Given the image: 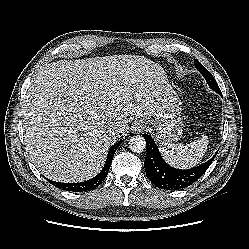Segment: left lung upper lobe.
Instances as JSON below:
<instances>
[{
	"instance_id": "obj_1",
	"label": "left lung upper lobe",
	"mask_w": 249,
	"mask_h": 249,
	"mask_svg": "<svg viewBox=\"0 0 249 249\" xmlns=\"http://www.w3.org/2000/svg\"><path fill=\"white\" fill-rule=\"evenodd\" d=\"M195 67L196 69L204 76L205 80L207 81L208 85L217 93H221L220 88L214 79L213 75L196 59L195 60Z\"/></svg>"
}]
</instances>
